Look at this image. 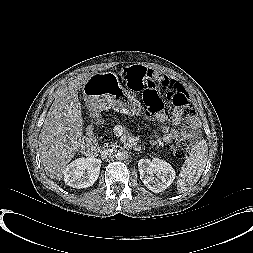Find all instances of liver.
Returning <instances> with one entry per match:
<instances>
[{"label":"liver","mask_w":253,"mask_h":253,"mask_svg":"<svg viewBox=\"0 0 253 253\" xmlns=\"http://www.w3.org/2000/svg\"><path fill=\"white\" fill-rule=\"evenodd\" d=\"M93 74H82L60 86L55 92L39 135V151L45 172L61 180L83 140V118L78 91Z\"/></svg>","instance_id":"obj_1"}]
</instances>
